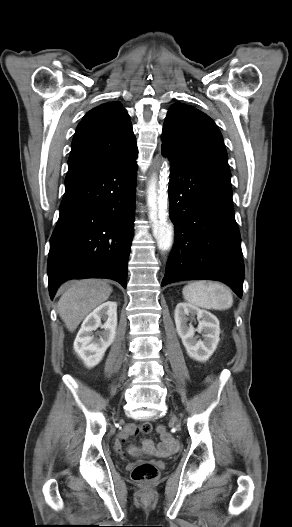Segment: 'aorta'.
Returning a JSON list of instances; mask_svg holds the SVG:
<instances>
[{"instance_id": "762f6f07", "label": "aorta", "mask_w": 292, "mask_h": 527, "mask_svg": "<svg viewBox=\"0 0 292 527\" xmlns=\"http://www.w3.org/2000/svg\"><path fill=\"white\" fill-rule=\"evenodd\" d=\"M168 168H163L160 171V177L158 185L154 186V176L156 173V167L153 165L150 168V180H149V189L148 194L150 199L154 196V193H158L157 202L159 205V214H158V223L155 227L156 234L159 238V245L162 250H167L170 248L172 244V232L169 229L167 225V184H168V176L169 173L167 172Z\"/></svg>"}]
</instances>
